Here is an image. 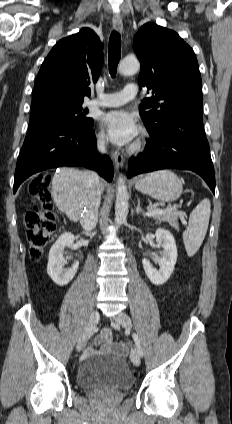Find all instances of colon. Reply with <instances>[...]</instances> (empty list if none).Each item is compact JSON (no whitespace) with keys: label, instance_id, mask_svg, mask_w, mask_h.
<instances>
[{"label":"colon","instance_id":"obj_1","mask_svg":"<svg viewBox=\"0 0 232 424\" xmlns=\"http://www.w3.org/2000/svg\"><path fill=\"white\" fill-rule=\"evenodd\" d=\"M29 191L39 206L28 210L25 214L27 241L31 259L38 260L41 258L44 248L52 240L55 222L51 212L50 193L44 179L32 180ZM116 343L123 353L129 350V344L125 343L123 339H118Z\"/></svg>","mask_w":232,"mask_h":424}]
</instances>
